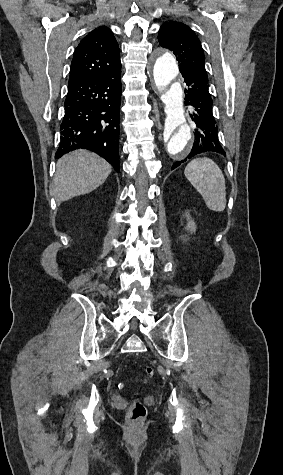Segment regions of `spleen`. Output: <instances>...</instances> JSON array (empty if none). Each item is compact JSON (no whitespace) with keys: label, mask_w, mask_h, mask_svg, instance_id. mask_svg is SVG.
Masks as SVG:
<instances>
[{"label":"spleen","mask_w":283,"mask_h":475,"mask_svg":"<svg viewBox=\"0 0 283 475\" xmlns=\"http://www.w3.org/2000/svg\"><path fill=\"white\" fill-rule=\"evenodd\" d=\"M185 178L201 194L207 208L223 212L226 208L225 178L217 164L209 158H196L187 164Z\"/></svg>","instance_id":"3e777b00"}]
</instances>
